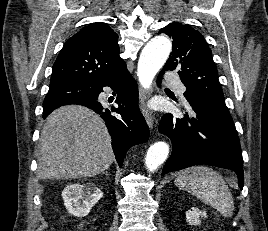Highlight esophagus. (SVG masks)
I'll return each mask as SVG.
<instances>
[{
  "instance_id": "esophagus-1",
  "label": "esophagus",
  "mask_w": 268,
  "mask_h": 231,
  "mask_svg": "<svg viewBox=\"0 0 268 231\" xmlns=\"http://www.w3.org/2000/svg\"><path fill=\"white\" fill-rule=\"evenodd\" d=\"M140 92V99L143 104V113L146 120V123L150 129L153 128L155 117L152 112L146 107V102L148 100L149 93L143 90L142 88L139 89Z\"/></svg>"
}]
</instances>
